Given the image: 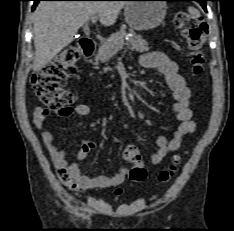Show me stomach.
<instances>
[{
    "label": "stomach",
    "mask_w": 234,
    "mask_h": 231,
    "mask_svg": "<svg viewBox=\"0 0 234 231\" xmlns=\"http://www.w3.org/2000/svg\"><path fill=\"white\" fill-rule=\"evenodd\" d=\"M166 10L167 4L162 0H133L126 3L124 17L131 29L145 31L158 27Z\"/></svg>",
    "instance_id": "0dacf381"
}]
</instances>
